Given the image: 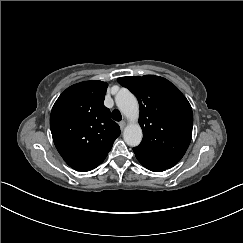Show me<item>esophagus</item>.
<instances>
[{"label":"esophagus","instance_id":"obj_1","mask_svg":"<svg viewBox=\"0 0 243 243\" xmlns=\"http://www.w3.org/2000/svg\"><path fill=\"white\" fill-rule=\"evenodd\" d=\"M125 125H126L125 121L119 122V126H120L121 130L124 129Z\"/></svg>","mask_w":243,"mask_h":243}]
</instances>
